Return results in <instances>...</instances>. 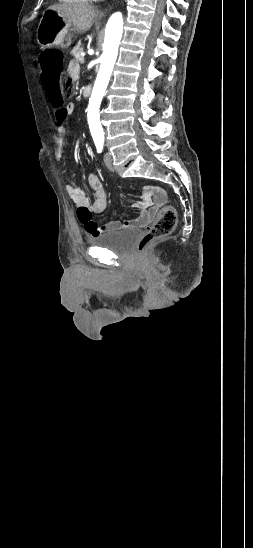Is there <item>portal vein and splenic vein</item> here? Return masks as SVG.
Wrapping results in <instances>:
<instances>
[{
	"mask_svg": "<svg viewBox=\"0 0 253 548\" xmlns=\"http://www.w3.org/2000/svg\"><path fill=\"white\" fill-rule=\"evenodd\" d=\"M80 62H81V63L84 62V57H81V58H80Z\"/></svg>",
	"mask_w": 253,
	"mask_h": 548,
	"instance_id": "portal-vein-and-splenic-vein-1",
	"label": "portal vein and splenic vein"
}]
</instances>
